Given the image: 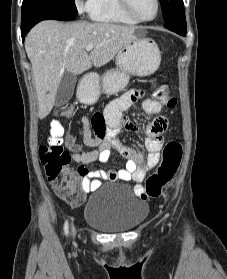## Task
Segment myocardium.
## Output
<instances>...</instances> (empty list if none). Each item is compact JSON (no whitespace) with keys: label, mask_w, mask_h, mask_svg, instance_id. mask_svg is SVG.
<instances>
[{"label":"myocardium","mask_w":227,"mask_h":279,"mask_svg":"<svg viewBox=\"0 0 227 279\" xmlns=\"http://www.w3.org/2000/svg\"><path fill=\"white\" fill-rule=\"evenodd\" d=\"M123 9L126 11V13L132 17L134 20H136L137 22H150L153 21L154 19H156V17L159 14V10H160V2L159 0H154L155 1V13L151 18H140L138 15H136V13L134 12L132 5H131V1L130 0H119Z\"/></svg>","instance_id":"obj_1"}]
</instances>
